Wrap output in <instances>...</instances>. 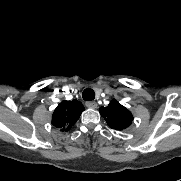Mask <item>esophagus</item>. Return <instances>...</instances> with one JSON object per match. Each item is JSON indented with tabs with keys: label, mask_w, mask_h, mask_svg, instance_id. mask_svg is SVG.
<instances>
[{
	"label": "esophagus",
	"mask_w": 181,
	"mask_h": 181,
	"mask_svg": "<svg viewBox=\"0 0 181 181\" xmlns=\"http://www.w3.org/2000/svg\"><path fill=\"white\" fill-rule=\"evenodd\" d=\"M86 106L91 109H96L97 103L95 101H88V102H86Z\"/></svg>",
	"instance_id": "esophagus-1"
}]
</instances>
